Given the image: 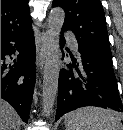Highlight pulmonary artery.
Segmentation results:
<instances>
[{
  "instance_id": "e3ab8cb5",
  "label": "pulmonary artery",
  "mask_w": 123,
  "mask_h": 130,
  "mask_svg": "<svg viewBox=\"0 0 123 130\" xmlns=\"http://www.w3.org/2000/svg\"><path fill=\"white\" fill-rule=\"evenodd\" d=\"M65 36L69 39L73 50L77 51L78 50V44H77L75 37L70 32H66Z\"/></svg>"
}]
</instances>
